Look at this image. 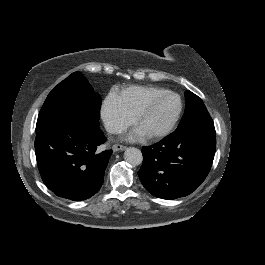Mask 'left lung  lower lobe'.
Masks as SVG:
<instances>
[{
	"instance_id": "left-lung-lower-lobe-1",
	"label": "left lung lower lobe",
	"mask_w": 265,
	"mask_h": 265,
	"mask_svg": "<svg viewBox=\"0 0 265 265\" xmlns=\"http://www.w3.org/2000/svg\"><path fill=\"white\" fill-rule=\"evenodd\" d=\"M215 149L216 132L210 115L189 121L160 142L142 148L139 178L158 198L187 196L208 175Z\"/></svg>"
}]
</instances>
